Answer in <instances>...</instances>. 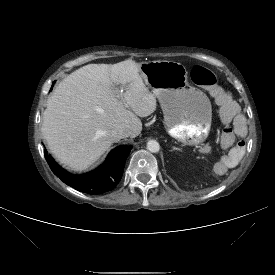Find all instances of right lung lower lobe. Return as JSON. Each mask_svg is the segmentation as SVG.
<instances>
[{
  "mask_svg": "<svg viewBox=\"0 0 275 275\" xmlns=\"http://www.w3.org/2000/svg\"><path fill=\"white\" fill-rule=\"evenodd\" d=\"M130 150V146L116 147L108 154L103 165L83 175H72L65 171L46 150L44 155L53 173L65 184L84 193L102 194L112 190L120 181Z\"/></svg>",
  "mask_w": 275,
  "mask_h": 275,
  "instance_id": "right-lung-lower-lobe-1",
  "label": "right lung lower lobe"
}]
</instances>
